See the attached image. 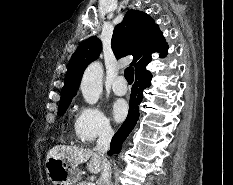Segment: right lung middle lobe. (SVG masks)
Here are the masks:
<instances>
[{"label": "right lung middle lobe", "mask_w": 233, "mask_h": 185, "mask_svg": "<svg viewBox=\"0 0 233 185\" xmlns=\"http://www.w3.org/2000/svg\"><path fill=\"white\" fill-rule=\"evenodd\" d=\"M71 101H64V102H60L59 108H58V115L62 116L66 109L68 108L69 104Z\"/></svg>", "instance_id": "1"}]
</instances>
